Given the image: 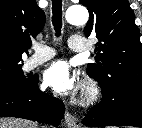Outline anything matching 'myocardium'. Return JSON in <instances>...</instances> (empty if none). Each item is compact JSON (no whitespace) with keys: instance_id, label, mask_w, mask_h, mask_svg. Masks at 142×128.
<instances>
[{"instance_id":"1","label":"myocardium","mask_w":142,"mask_h":128,"mask_svg":"<svg viewBox=\"0 0 142 128\" xmlns=\"http://www.w3.org/2000/svg\"><path fill=\"white\" fill-rule=\"evenodd\" d=\"M100 88L92 79H86L81 87L78 102L81 105H90L98 100Z\"/></svg>"}]
</instances>
